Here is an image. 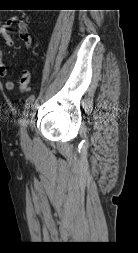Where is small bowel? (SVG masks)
<instances>
[{
    "mask_svg": "<svg viewBox=\"0 0 138 253\" xmlns=\"http://www.w3.org/2000/svg\"><path fill=\"white\" fill-rule=\"evenodd\" d=\"M17 26L18 35L21 39L24 47L29 50L32 47V37L29 33L28 25L21 20L19 17H12L8 19L5 23L0 26V37L2 38L4 44L7 47H11L13 45V40L9 34V29L12 25ZM8 74V69L4 62V55L2 50L0 49V77L4 78ZM15 87V83L13 80H8L5 83V88L9 91L13 90Z\"/></svg>",
    "mask_w": 138,
    "mask_h": 253,
    "instance_id": "obj_1",
    "label": "small bowel"
}]
</instances>
